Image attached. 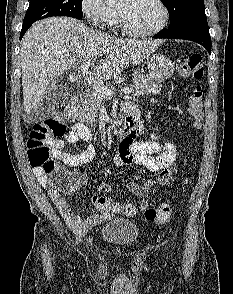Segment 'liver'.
Masks as SVG:
<instances>
[{
    "label": "liver",
    "instance_id": "obj_1",
    "mask_svg": "<svg viewBox=\"0 0 233 294\" xmlns=\"http://www.w3.org/2000/svg\"><path fill=\"white\" fill-rule=\"evenodd\" d=\"M161 43L114 38L67 17L36 23L24 35L20 53L24 112L36 110L47 87L83 61H92L96 77L108 80L149 57Z\"/></svg>",
    "mask_w": 233,
    "mask_h": 294
}]
</instances>
